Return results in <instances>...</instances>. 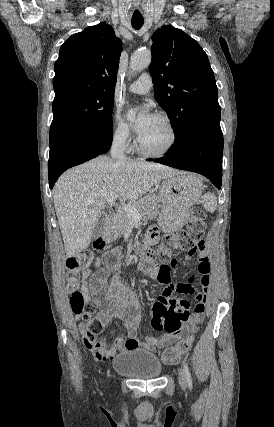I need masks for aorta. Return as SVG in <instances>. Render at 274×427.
I'll return each mask as SVG.
<instances>
[{
	"label": "aorta",
	"instance_id": "aorta-1",
	"mask_svg": "<svg viewBox=\"0 0 274 427\" xmlns=\"http://www.w3.org/2000/svg\"><path fill=\"white\" fill-rule=\"evenodd\" d=\"M152 55L150 50H139L134 52L130 59V69L132 72H140L151 63Z\"/></svg>",
	"mask_w": 274,
	"mask_h": 427
}]
</instances>
